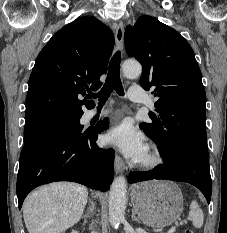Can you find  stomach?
Returning <instances> with one entry per match:
<instances>
[{
  "label": "stomach",
  "mask_w": 227,
  "mask_h": 233,
  "mask_svg": "<svg viewBox=\"0 0 227 233\" xmlns=\"http://www.w3.org/2000/svg\"><path fill=\"white\" fill-rule=\"evenodd\" d=\"M133 208L147 226L165 227L183 212V195L169 181H150L135 185L131 191Z\"/></svg>",
  "instance_id": "0dacf381"
}]
</instances>
